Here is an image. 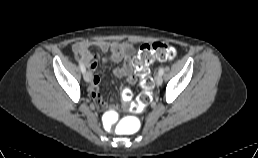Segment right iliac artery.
<instances>
[{
    "instance_id": "1",
    "label": "right iliac artery",
    "mask_w": 258,
    "mask_h": 158,
    "mask_svg": "<svg viewBox=\"0 0 258 158\" xmlns=\"http://www.w3.org/2000/svg\"><path fill=\"white\" fill-rule=\"evenodd\" d=\"M79 66H80L82 73H84L86 71L84 64L82 62H79Z\"/></svg>"
}]
</instances>
